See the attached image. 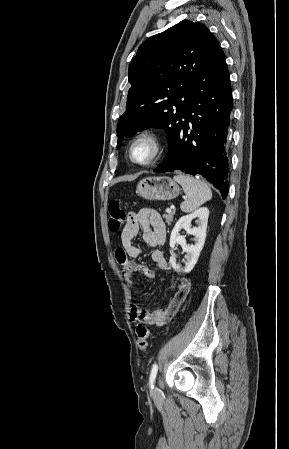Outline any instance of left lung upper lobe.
<instances>
[{
	"label": "left lung upper lobe",
	"mask_w": 289,
	"mask_h": 449,
	"mask_svg": "<svg viewBox=\"0 0 289 449\" xmlns=\"http://www.w3.org/2000/svg\"><path fill=\"white\" fill-rule=\"evenodd\" d=\"M218 49L219 42L207 27L188 20L146 40L129 66L131 88L118 122V148L124 135L149 127L164 129L169 144L193 86Z\"/></svg>",
	"instance_id": "left-lung-upper-lobe-1"
}]
</instances>
